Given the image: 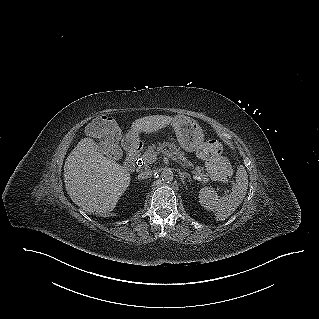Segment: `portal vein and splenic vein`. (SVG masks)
<instances>
[{
    "instance_id": "obj_1",
    "label": "portal vein and splenic vein",
    "mask_w": 319,
    "mask_h": 319,
    "mask_svg": "<svg viewBox=\"0 0 319 319\" xmlns=\"http://www.w3.org/2000/svg\"><path fill=\"white\" fill-rule=\"evenodd\" d=\"M162 154H164L165 156L171 158L173 161H175L176 163H178L180 166H182L183 168H186L178 159L176 156H174L172 153H170L169 151H162ZM156 156L157 155H154L151 157V160L152 161H155L156 160ZM188 169V168H187ZM192 173H194V171H192ZM195 179L198 180V181H201V178L200 176H195Z\"/></svg>"
}]
</instances>
